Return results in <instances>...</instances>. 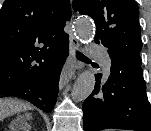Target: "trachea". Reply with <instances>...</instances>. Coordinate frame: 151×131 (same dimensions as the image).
Instances as JSON below:
<instances>
[{
    "label": "trachea",
    "mask_w": 151,
    "mask_h": 131,
    "mask_svg": "<svg viewBox=\"0 0 151 131\" xmlns=\"http://www.w3.org/2000/svg\"><path fill=\"white\" fill-rule=\"evenodd\" d=\"M76 55H77L78 58H86V57H85L82 53H80V52H77Z\"/></svg>",
    "instance_id": "3493384b"
}]
</instances>
